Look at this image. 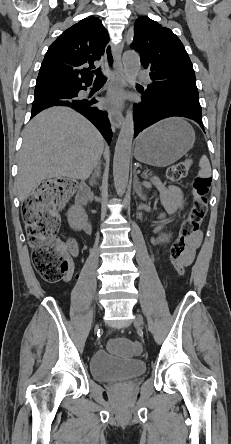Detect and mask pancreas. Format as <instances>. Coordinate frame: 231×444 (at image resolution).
<instances>
[{
	"label": "pancreas",
	"instance_id": "pancreas-1",
	"mask_svg": "<svg viewBox=\"0 0 231 444\" xmlns=\"http://www.w3.org/2000/svg\"><path fill=\"white\" fill-rule=\"evenodd\" d=\"M141 175H142V177H144V178H148L149 176L152 175V171L149 170V169H145V170L142 172Z\"/></svg>",
	"mask_w": 231,
	"mask_h": 444
}]
</instances>
